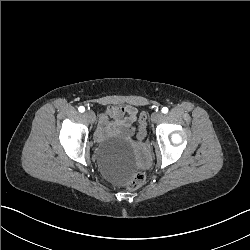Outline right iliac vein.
I'll list each match as a JSON object with an SVG mask.
<instances>
[{"instance_id":"1","label":"right iliac vein","mask_w":250,"mask_h":250,"mask_svg":"<svg viewBox=\"0 0 250 250\" xmlns=\"http://www.w3.org/2000/svg\"><path fill=\"white\" fill-rule=\"evenodd\" d=\"M84 117L90 122V123H94L95 120V115L92 111H86L84 113Z\"/></svg>"}]
</instances>
